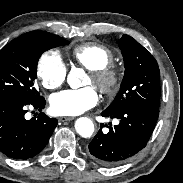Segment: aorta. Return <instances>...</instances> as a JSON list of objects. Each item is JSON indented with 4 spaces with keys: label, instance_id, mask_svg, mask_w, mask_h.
I'll return each mask as SVG.
<instances>
[{
    "label": "aorta",
    "instance_id": "obj_1",
    "mask_svg": "<svg viewBox=\"0 0 183 183\" xmlns=\"http://www.w3.org/2000/svg\"><path fill=\"white\" fill-rule=\"evenodd\" d=\"M85 76L84 70L80 68H72L67 76V82L73 89L81 86V79ZM76 132L83 138H89L94 133V124L87 117H80L75 122Z\"/></svg>",
    "mask_w": 183,
    "mask_h": 183
}]
</instances>
